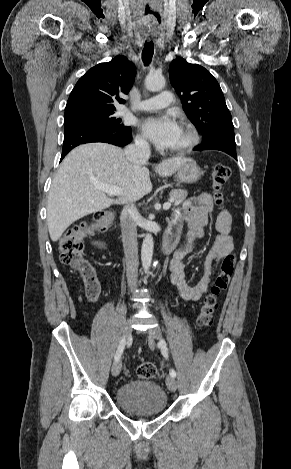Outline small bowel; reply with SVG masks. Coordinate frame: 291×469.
<instances>
[{"instance_id": "small-bowel-1", "label": "small bowel", "mask_w": 291, "mask_h": 469, "mask_svg": "<svg viewBox=\"0 0 291 469\" xmlns=\"http://www.w3.org/2000/svg\"><path fill=\"white\" fill-rule=\"evenodd\" d=\"M212 210V198L204 193L188 200L181 210L173 214L170 221L169 226L177 229L179 234L187 228L184 242L169 263L171 281L179 295L187 301H198L207 292L214 263L231 253L234 247L230 235L232 218L228 211H222L217 216V235L205 257L202 276L196 284L188 283L185 274V259L193 249L196 240L203 237ZM84 281L86 288L95 287L100 292V284L95 274Z\"/></svg>"}]
</instances>
